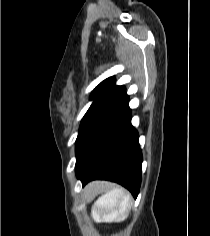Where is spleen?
Segmentation results:
<instances>
[{
    "mask_svg": "<svg viewBox=\"0 0 210 236\" xmlns=\"http://www.w3.org/2000/svg\"><path fill=\"white\" fill-rule=\"evenodd\" d=\"M131 207L130 194L123 188H114L94 202L91 215L95 222H121L128 217Z\"/></svg>",
    "mask_w": 210,
    "mask_h": 236,
    "instance_id": "obj_1",
    "label": "spleen"
}]
</instances>
